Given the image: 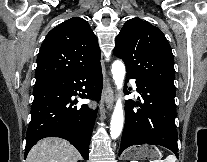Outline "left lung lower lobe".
<instances>
[{"label":"left lung lower lobe","mask_w":207,"mask_h":162,"mask_svg":"<svg viewBox=\"0 0 207 162\" xmlns=\"http://www.w3.org/2000/svg\"><path fill=\"white\" fill-rule=\"evenodd\" d=\"M130 78L136 79L137 91L144 103L126 102V121L119 155L132 145L150 143L166 147L178 157L175 87L145 83L127 73V79Z\"/></svg>","instance_id":"0a47b994"}]
</instances>
